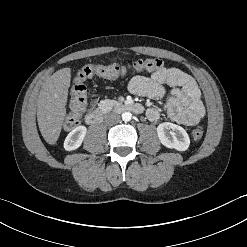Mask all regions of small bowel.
<instances>
[{"mask_svg":"<svg viewBox=\"0 0 247 247\" xmlns=\"http://www.w3.org/2000/svg\"><path fill=\"white\" fill-rule=\"evenodd\" d=\"M128 88L137 96L164 98L169 117L177 123L194 125L204 117L205 110L197 84L180 69L162 68L148 77L136 76L129 82ZM159 116V111L154 107L146 110L150 121L158 120Z\"/></svg>","mask_w":247,"mask_h":247,"instance_id":"c3829d8e","label":"small bowel"}]
</instances>
